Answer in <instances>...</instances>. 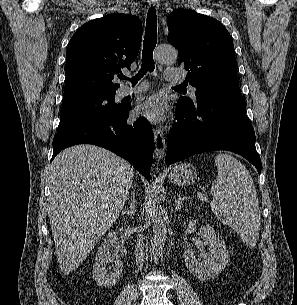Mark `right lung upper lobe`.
Returning <instances> with one entry per match:
<instances>
[{
	"instance_id": "right-lung-upper-lobe-1",
	"label": "right lung upper lobe",
	"mask_w": 297,
	"mask_h": 305,
	"mask_svg": "<svg viewBox=\"0 0 297 305\" xmlns=\"http://www.w3.org/2000/svg\"><path fill=\"white\" fill-rule=\"evenodd\" d=\"M141 40L142 23L132 15L111 14L80 27L67 48L63 101L116 91L113 80L121 68L130 69Z\"/></svg>"
}]
</instances>
